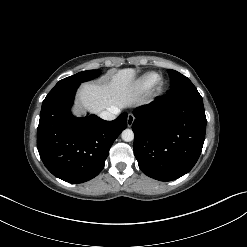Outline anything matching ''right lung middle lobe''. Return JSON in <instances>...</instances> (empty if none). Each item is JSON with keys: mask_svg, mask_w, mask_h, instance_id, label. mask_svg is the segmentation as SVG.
<instances>
[{"mask_svg": "<svg viewBox=\"0 0 247 247\" xmlns=\"http://www.w3.org/2000/svg\"><path fill=\"white\" fill-rule=\"evenodd\" d=\"M100 71L99 70H87V71H82L79 72L75 75H72L70 77L64 78L62 80H60L56 85L58 84H80L82 82L91 80L97 76L100 75Z\"/></svg>", "mask_w": 247, "mask_h": 247, "instance_id": "1", "label": "right lung middle lobe"}]
</instances>
